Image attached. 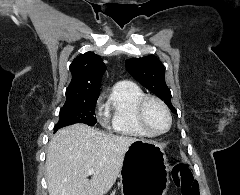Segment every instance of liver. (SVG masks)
Returning <instances> with one entry per match:
<instances>
[{"mask_svg":"<svg viewBox=\"0 0 240 195\" xmlns=\"http://www.w3.org/2000/svg\"><path fill=\"white\" fill-rule=\"evenodd\" d=\"M136 137L108 135L86 123L61 127L49 141V195H104L115 183L125 153ZM94 167L91 179L88 169Z\"/></svg>","mask_w":240,"mask_h":195,"instance_id":"6515ba94","label":"liver"}]
</instances>
